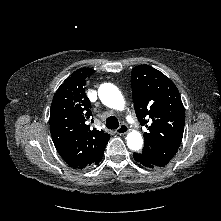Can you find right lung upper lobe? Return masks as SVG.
Wrapping results in <instances>:
<instances>
[{
    "label": "right lung upper lobe",
    "mask_w": 221,
    "mask_h": 221,
    "mask_svg": "<svg viewBox=\"0 0 221 221\" xmlns=\"http://www.w3.org/2000/svg\"><path fill=\"white\" fill-rule=\"evenodd\" d=\"M93 72L91 68L76 70L60 85L51 104L52 140L64 161L76 169L94 165L110 139L108 133L89 125L91 105L84 86Z\"/></svg>",
    "instance_id": "1"
}]
</instances>
